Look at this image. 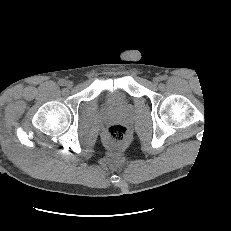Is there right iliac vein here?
<instances>
[{"instance_id":"obj_1","label":"right iliac vein","mask_w":231,"mask_h":231,"mask_svg":"<svg viewBox=\"0 0 231 231\" xmlns=\"http://www.w3.org/2000/svg\"><path fill=\"white\" fill-rule=\"evenodd\" d=\"M65 84H66V86L68 88H71L73 86V82L72 81H67Z\"/></svg>"}]
</instances>
